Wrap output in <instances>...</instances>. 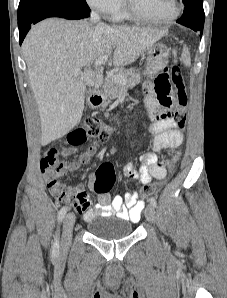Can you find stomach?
<instances>
[{
	"instance_id": "1",
	"label": "stomach",
	"mask_w": 227,
	"mask_h": 298,
	"mask_svg": "<svg viewBox=\"0 0 227 298\" xmlns=\"http://www.w3.org/2000/svg\"><path fill=\"white\" fill-rule=\"evenodd\" d=\"M147 59L144 67V75L154 77L160 69H164L168 64L169 50L162 43H154L146 49Z\"/></svg>"
}]
</instances>
